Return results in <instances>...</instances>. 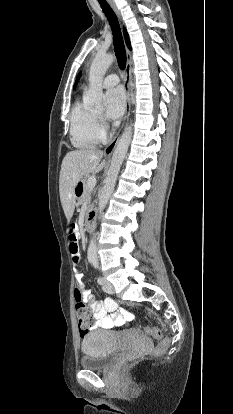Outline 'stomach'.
<instances>
[{
	"label": "stomach",
	"mask_w": 233,
	"mask_h": 414,
	"mask_svg": "<svg viewBox=\"0 0 233 414\" xmlns=\"http://www.w3.org/2000/svg\"><path fill=\"white\" fill-rule=\"evenodd\" d=\"M83 189H84V183H83V188H82V186H80L79 185V183L75 186V188H74V193H75V196H81V195H83L82 193V191H83Z\"/></svg>",
	"instance_id": "0dacf381"
}]
</instances>
